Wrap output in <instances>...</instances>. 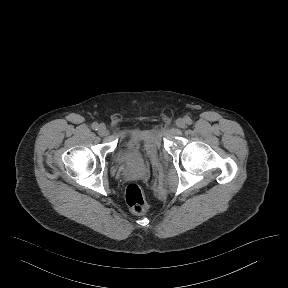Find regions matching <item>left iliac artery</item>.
Listing matches in <instances>:
<instances>
[{"mask_svg":"<svg viewBox=\"0 0 288 288\" xmlns=\"http://www.w3.org/2000/svg\"><path fill=\"white\" fill-rule=\"evenodd\" d=\"M185 121L187 124L191 125L192 124V119L188 116L185 117Z\"/></svg>","mask_w":288,"mask_h":288,"instance_id":"obj_1","label":"left iliac artery"}]
</instances>
